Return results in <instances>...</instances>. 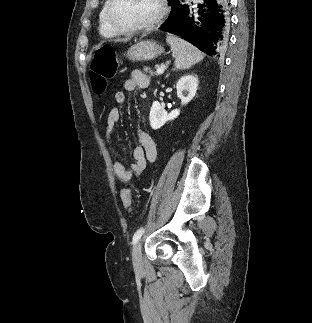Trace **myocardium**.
<instances>
[{"label": "myocardium", "mask_w": 312, "mask_h": 323, "mask_svg": "<svg viewBox=\"0 0 312 323\" xmlns=\"http://www.w3.org/2000/svg\"><path fill=\"white\" fill-rule=\"evenodd\" d=\"M118 2L119 0H107L108 5L104 12L106 20L111 23V31H147L151 25H159L161 21L167 20V0H155L158 4L155 18H149V20H120V18H116Z\"/></svg>", "instance_id": "f54148a6"}]
</instances>
